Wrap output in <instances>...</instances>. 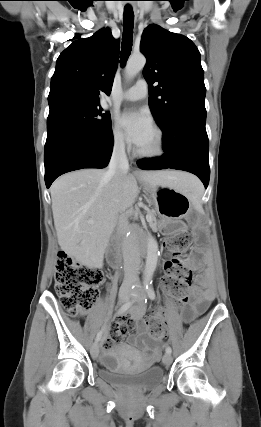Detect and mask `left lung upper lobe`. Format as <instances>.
Listing matches in <instances>:
<instances>
[{
	"label": "left lung upper lobe",
	"instance_id": "5c2ea615",
	"mask_svg": "<svg viewBox=\"0 0 261 427\" xmlns=\"http://www.w3.org/2000/svg\"><path fill=\"white\" fill-rule=\"evenodd\" d=\"M140 51L147 59L143 75L149 84V106L160 128L179 109L205 110L200 52L189 38L151 24L143 32ZM155 82L159 84L152 87Z\"/></svg>",
	"mask_w": 261,
	"mask_h": 427
}]
</instances>
